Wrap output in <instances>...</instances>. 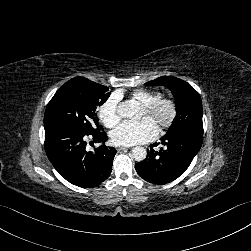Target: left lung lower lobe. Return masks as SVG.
I'll return each mask as SVG.
<instances>
[{"mask_svg": "<svg viewBox=\"0 0 251 251\" xmlns=\"http://www.w3.org/2000/svg\"><path fill=\"white\" fill-rule=\"evenodd\" d=\"M164 148L156 151L151 145L144 161L136 163L135 169L144 180L154 184H167L182 175L201 148L203 135L178 132L162 139Z\"/></svg>", "mask_w": 251, "mask_h": 251, "instance_id": "0a47b994", "label": "left lung lower lobe"}]
</instances>
